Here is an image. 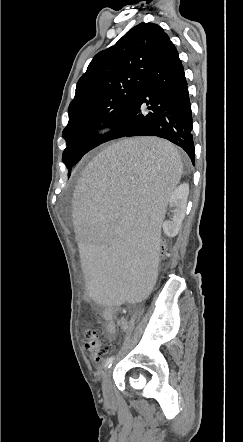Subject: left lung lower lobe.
Instances as JSON below:
<instances>
[{"label":"left lung lower lobe","instance_id":"left-lung-lower-lobe-1","mask_svg":"<svg viewBox=\"0 0 243 442\" xmlns=\"http://www.w3.org/2000/svg\"><path fill=\"white\" fill-rule=\"evenodd\" d=\"M192 112L179 54L168 40L147 73L133 106L103 140L157 136L180 146L194 164Z\"/></svg>","mask_w":243,"mask_h":442}]
</instances>
